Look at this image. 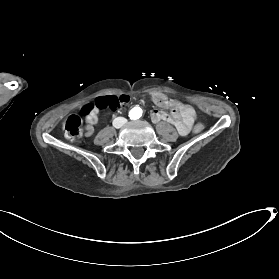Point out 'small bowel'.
Returning a JSON list of instances; mask_svg holds the SVG:
<instances>
[{"label":"small bowel","mask_w":279,"mask_h":279,"mask_svg":"<svg viewBox=\"0 0 279 279\" xmlns=\"http://www.w3.org/2000/svg\"><path fill=\"white\" fill-rule=\"evenodd\" d=\"M151 98L155 105L170 108L172 111L171 114H168L157 109L153 110L151 112V118L154 122H169L175 126L180 135H186L190 132L195 121V116L185 111L182 103L177 100L170 99L166 95L160 93L153 94ZM98 114L99 111L97 109H93L86 115L85 120L88 135L92 133L93 125H95L98 121Z\"/></svg>","instance_id":"small-bowel-1"}]
</instances>
